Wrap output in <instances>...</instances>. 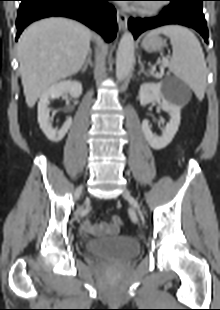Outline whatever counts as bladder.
<instances>
[{"mask_svg":"<svg viewBox=\"0 0 220 310\" xmlns=\"http://www.w3.org/2000/svg\"><path fill=\"white\" fill-rule=\"evenodd\" d=\"M85 247L90 255L106 261H128L141 249L138 241L124 236L91 239Z\"/></svg>","mask_w":220,"mask_h":310,"instance_id":"1","label":"bladder"}]
</instances>
